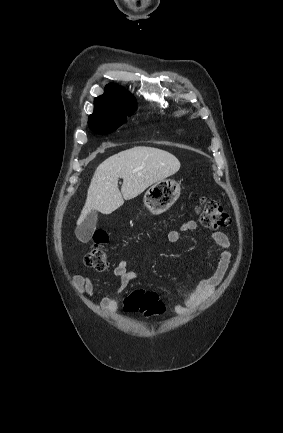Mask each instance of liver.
I'll list each match as a JSON object with an SVG mask.
<instances>
[{
    "label": "liver",
    "mask_w": 283,
    "mask_h": 433,
    "mask_svg": "<svg viewBox=\"0 0 283 433\" xmlns=\"http://www.w3.org/2000/svg\"><path fill=\"white\" fill-rule=\"evenodd\" d=\"M179 168L180 162L174 154L153 146H133L109 156L97 166L92 176L76 225L79 227L91 210L110 214L123 204L124 198H135L150 184L171 176ZM118 178H123L121 192Z\"/></svg>",
    "instance_id": "6515ba94"
}]
</instances>
